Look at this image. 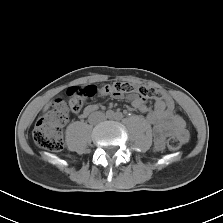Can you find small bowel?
<instances>
[{
    "mask_svg": "<svg viewBox=\"0 0 223 223\" xmlns=\"http://www.w3.org/2000/svg\"><path fill=\"white\" fill-rule=\"evenodd\" d=\"M129 100L135 109L141 112L148 110L146 103L142 99L130 96ZM98 108L97 104H90L82 111L80 116L85 118ZM147 122L154 132V148L156 151L164 149L165 139L171 135L178 137L183 143L188 141L189 136L183 118L177 114L175 108L172 111L167 110L166 104L163 103L162 99L155 100L153 110L147 115Z\"/></svg>",
    "mask_w": 223,
    "mask_h": 223,
    "instance_id": "1",
    "label": "small bowel"
}]
</instances>
